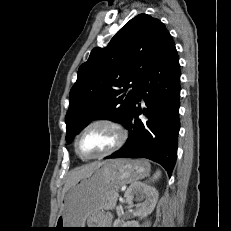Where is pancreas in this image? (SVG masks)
I'll list each match as a JSON object with an SVG mask.
<instances>
[{
    "label": "pancreas",
    "instance_id": "obj_1",
    "mask_svg": "<svg viewBox=\"0 0 231 231\" xmlns=\"http://www.w3.org/2000/svg\"><path fill=\"white\" fill-rule=\"evenodd\" d=\"M115 196H116V194L111 197V199L109 201L108 208H114L115 207L116 201H117Z\"/></svg>",
    "mask_w": 231,
    "mask_h": 231
}]
</instances>
